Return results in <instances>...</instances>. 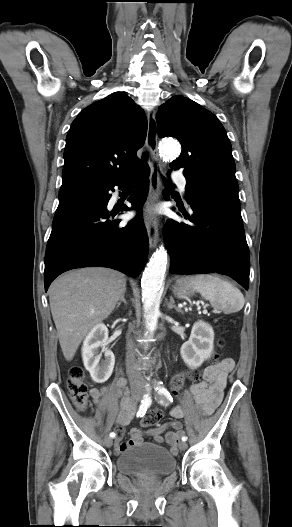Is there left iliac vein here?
Here are the masks:
<instances>
[{
  "label": "left iliac vein",
  "instance_id": "1",
  "mask_svg": "<svg viewBox=\"0 0 292 527\" xmlns=\"http://www.w3.org/2000/svg\"><path fill=\"white\" fill-rule=\"evenodd\" d=\"M179 449L180 450H185L187 449V443L185 441H182L179 443Z\"/></svg>",
  "mask_w": 292,
  "mask_h": 527
}]
</instances>
